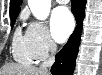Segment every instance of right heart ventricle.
<instances>
[{"label": "right heart ventricle", "instance_id": "e07e8e85", "mask_svg": "<svg viewBox=\"0 0 102 75\" xmlns=\"http://www.w3.org/2000/svg\"><path fill=\"white\" fill-rule=\"evenodd\" d=\"M12 54L16 61L26 64H32L34 56L29 46L26 33H22L20 28L15 31L12 44Z\"/></svg>", "mask_w": 102, "mask_h": 75}]
</instances>
